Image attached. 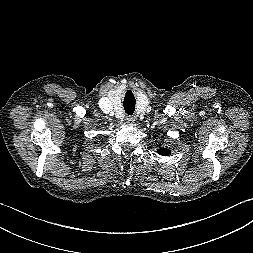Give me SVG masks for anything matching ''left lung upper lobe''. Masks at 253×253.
Instances as JSON below:
<instances>
[{
  "label": "left lung upper lobe",
  "instance_id": "5c2ea615",
  "mask_svg": "<svg viewBox=\"0 0 253 253\" xmlns=\"http://www.w3.org/2000/svg\"><path fill=\"white\" fill-rule=\"evenodd\" d=\"M157 153L160 155H169L170 154V150L169 149H165V148H160L159 150H157Z\"/></svg>",
  "mask_w": 253,
  "mask_h": 253
}]
</instances>
